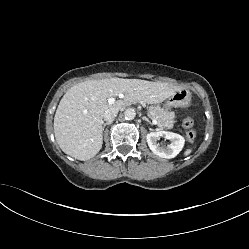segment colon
Returning a JSON list of instances; mask_svg holds the SVG:
<instances>
[{
  "instance_id": "5ec220e1",
  "label": "colon",
  "mask_w": 249,
  "mask_h": 249,
  "mask_svg": "<svg viewBox=\"0 0 249 249\" xmlns=\"http://www.w3.org/2000/svg\"><path fill=\"white\" fill-rule=\"evenodd\" d=\"M193 124H194V121L192 119V117H186L184 120H183V127L185 129H187V139L190 141V142H193L195 137H196V133L195 131L192 129L193 127Z\"/></svg>"
}]
</instances>
